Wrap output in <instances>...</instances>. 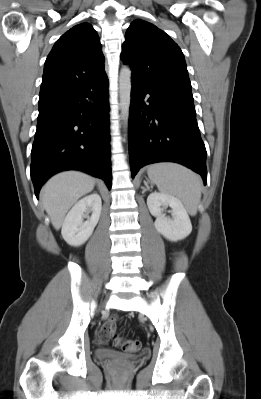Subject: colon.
Here are the masks:
<instances>
[{
	"label": "colon",
	"instance_id": "1",
	"mask_svg": "<svg viewBox=\"0 0 261 399\" xmlns=\"http://www.w3.org/2000/svg\"><path fill=\"white\" fill-rule=\"evenodd\" d=\"M113 341L116 345L120 346L124 351L134 353L141 349V341L136 339H123L115 331L112 334Z\"/></svg>",
	"mask_w": 261,
	"mask_h": 399
}]
</instances>
